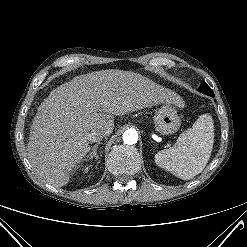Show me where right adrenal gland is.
Instances as JSON below:
<instances>
[{
    "mask_svg": "<svg viewBox=\"0 0 247 247\" xmlns=\"http://www.w3.org/2000/svg\"><path fill=\"white\" fill-rule=\"evenodd\" d=\"M99 146H100V143H97V144H95V145L92 147L91 152L87 155V159L89 158V160H92L93 157H94L95 159H98L97 149H98ZM87 159H86V161H87Z\"/></svg>",
    "mask_w": 247,
    "mask_h": 247,
    "instance_id": "right-adrenal-gland-1",
    "label": "right adrenal gland"
}]
</instances>
